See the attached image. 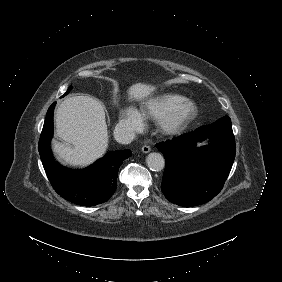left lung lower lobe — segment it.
Wrapping results in <instances>:
<instances>
[{
	"label": "left lung lower lobe",
	"instance_id": "0a47b994",
	"mask_svg": "<svg viewBox=\"0 0 282 282\" xmlns=\"http://www.w3.org/2000/svg\"><path fill=\"white\" fill-rule=\"evenodd\" d=\"M205 140L208 145L197 147ZM156 147L165 158L162 192L170 202L183 207L206 203L221 191L236 151L228 116Z\"/></svg>",
	"mask_w": 282,
	"mask_h": 282
}]
</instances>
